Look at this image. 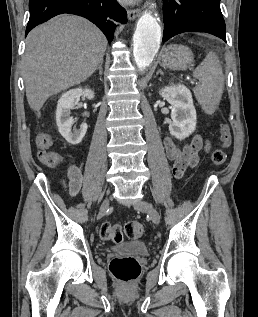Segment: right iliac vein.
I'll return each mask as SVG.
<instances>
[{"mask_svg": "<svg viewBox=\"0 0 258 317\" xmlns=\"http://www.w3.org/2000/svg\"><path fill=\"white\" fill-rule=\"evenodd\" d=\"M109 207H110L109 197H106V200H102L101 202V207L99 212L97 213V216L99 218H102L104 214L106 213V210L109 209Z\"/></svg>", "mask_w": 258, "mask_h": 317, "instance_id": "obj_1", "label": "right iliac vein"}]
</instances>
